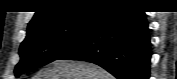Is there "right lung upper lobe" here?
<instances>
[{"label":"right lung upper lobe","mask_w":177,"mask_h":79,"mask_svg":"<svg viewBox=\"0 0 177 79\" xmlns=\"http://www.w3.org/2000/svg\"><path fill=\"white\" fill-rule=\"evenodd\" d=\"M128 0H46L28 25V32L43 25L72 20L92 13L102 14L106 9L129 5Z\"/></svg>","instance_id":"cb5924a9"}]
</instances>
